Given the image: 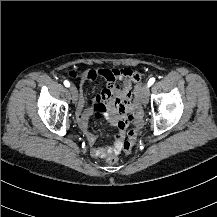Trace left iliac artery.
I'll return each mask as SVG.
<instances>
[{"label": "left iliac artery", "mask_w": 217, "mask_h": 217, "mask_svg": "<svg viewBox=\"0 0 217 217\" xmlns=\"http://www.w3.org/2000/svg\"><path fill=\"white\" fill-rule=\"evenodd\" d=\"M154 82H155V78L154 77L150 78L148 81V87H150Z\"/></svg>", "instance_id": "1"}]
</instances>
